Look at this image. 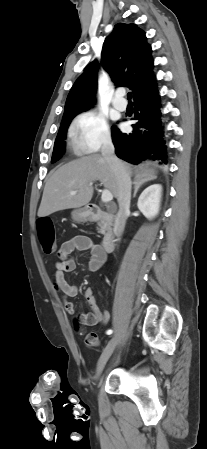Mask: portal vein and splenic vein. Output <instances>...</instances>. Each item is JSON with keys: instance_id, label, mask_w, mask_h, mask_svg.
Here are the masks:
<instances>
[{"instance_id": "18ae733b", "label": "portal vein and splenic vein", "mask_w": 207, "mask_h": 449, "mask_svg": "<svg viewBox=\"0 0 207 449\" xmlns=\"http://www.w3.org/2000/svg\"><path fill=\"white\" fill-rule=\"evenodd\" d=\"M77 192L76 191H72L71 194L75 195ZM113 199V195L111 194V192L107 189H104L102 191V196H101V200L103 203H108Z\"/></svg>"}]
</instances>
